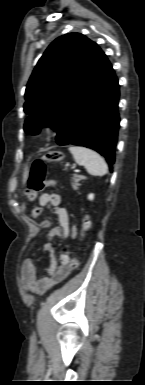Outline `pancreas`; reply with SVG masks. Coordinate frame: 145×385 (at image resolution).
<instances>
[{"instance_id":"cf45deb5","label":"pancreas","mask_w":145,"mask_h":385,"mask_svg":"<svg viewBox=\"0 0 145 385\" xmlns=\"http://www.w3.org/2000/svg\"><path fill=\"white\" fill-rule=\"evenodd\" d=\"M83 179V177L82 176H79V175H74L73 176V179H72V183H71V185H72V188L73 189H77L78 187H79V181L80 180H82Z\"/></svg>"}]
</instances>
